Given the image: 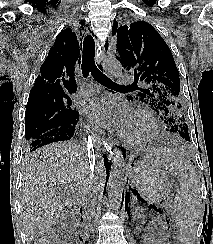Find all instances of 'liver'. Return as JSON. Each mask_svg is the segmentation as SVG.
Listing matches in <instances>:
<instances>
[{
    "label": "liver",
    "instance_id": "obj_1",
    "mask_svg": "<svg viewBox=\"0 0 213 244\" xmlns=\"http://www.w3.org/2000/svg\"><path fill=\"white\" fill-rule=\"evenodd\" d=\"M103 177L102 161L93 158L91 163L80 145L59 142L38 149L23 172L21 216L27 242L67 218L66 206H82L89 193L100 191Z\"/></svg>",
    "mask_w": 213,
    "mask_h": 244
}]
</instances>
